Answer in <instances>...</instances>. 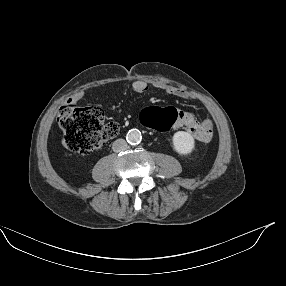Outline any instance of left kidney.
Returning <instances> with one entry per match:
<instances>
[{
    "label": "left kidney",
    "instance_id": "1",
    "mask_svg": "<svg viewBox=\"0 0 286 286\" xmlns=\"http://www.w3.org/2000/svg\"><path fill=\"white\" fill-rule=\"evenodd\" d=\"M174 150L180 155L190 154L195 147V140L190 133L178 131L173 135Z\"/></svg>",
    "mask_w": 286,
    "mask_h": 286
}]
</instances>
